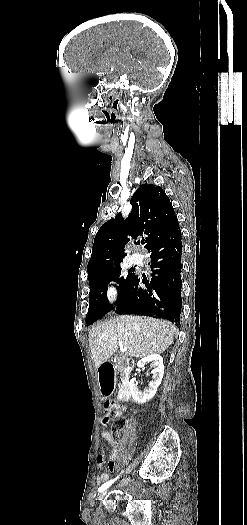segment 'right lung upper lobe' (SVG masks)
<instances>
[{
  "label": "right lung upper lobe",
  "mask_w": 247,
  "mask_h": 525,
  "mask_svg": "<svg viewBox=\"0 0 247 525\" xmlns=\"http://www.w3.org/2000/svg\"><path fill=\"white\" fill-rule=\"evenodd\" d=\"M130 203L133 209L126 221L119 213L97 232L88 262V275L120 268L126 255L124 246L130 241L128 237L136 239L139 235H146V248L179 225L169 198L159 186L141 185Z\"/></svg>",
  "instance_id": "obj_1"
}]
</instances>
